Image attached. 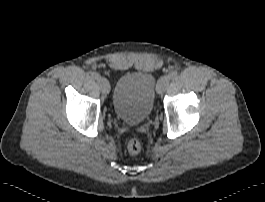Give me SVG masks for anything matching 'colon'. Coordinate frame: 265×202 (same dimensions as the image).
I'll list each match as a JSON object with an SVG mask.
<instances>
[{
	"label": "colon",
	"mask_w": 265,
	"mask_h": 202,
	"mask_svg": "<svg viewBox=\"0 0 265 202\" xmlns=\"http://www.w3.org/2000/svg\"><path fill=\"white\" fill-rule=\"evenodd\" d=\"M141 147V142L137 138H131L127 142V150L132 155L138 154Z\"/></svg>",
	"instance_id": "5ec220e1"
}]
</instances>
